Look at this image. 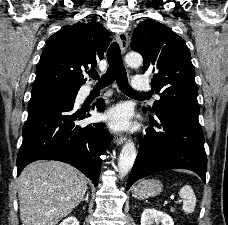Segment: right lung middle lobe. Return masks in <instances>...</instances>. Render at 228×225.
<instances>
[{
  "label": "right lung middle lobe",
  "mask_w": 228,
  "mask_h": 225,
  "mask_svg": "<svg viewBox=\"0 0 228 225\" xmlns=\"http://www.w3.org/2000/svg\"><path fill=\"white\" fill-rule=\"evenodd\" d=\"M79 89L62 85H44L33 87L30 102L56 96H76Z\"/></svg>",
  "instance_id": "right-lung-middle-lobe-1"
}]
</instances>
